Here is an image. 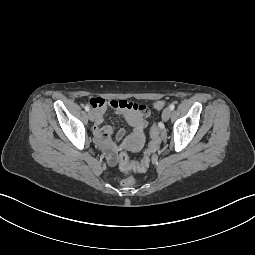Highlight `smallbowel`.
<instances>
[{
	"label": "small bowel",
	"instance_id": "1",
	"mask_svg": "<svg viewBox=\"0 0 255 255\" xmlns=\"http://www.w3.org/2000/svg\"><path fill=\"white\" fill-rule=\"evenodd\" d=\"M89 103L95 113L93 126L94 136L100 147L105 151L108 163L115 165L117 163V149L120 146L137 148L141 144L149 110L143 104L126 100H107L102 97H93L89 100ZM110 108L117 114L125 117L128 124L132 127L133 133L130 137L125 138V131L120 129L116 134V141L113 142L110 139L112 128L102 126L104 115Z\"/></svg>",
	"mask_w": 255,
	"mask_h": 255
}]
</instances>
